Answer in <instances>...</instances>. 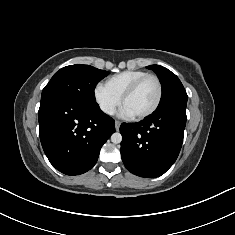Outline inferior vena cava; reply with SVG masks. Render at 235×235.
Here are the masks:
<instances>
[{"mask_svg":"<svg viewBox=\"0 0 235 235\" xmlns=\"http://www.w3.org/2000/svg\"><path fill=\"white\" fill-rule=\"evenodd\" d=\"M103 111L107 114L113 115L116 111L114 106H104Z\"/></svg>","mask_w":235,"mask_h":235,"instance_id":"602c4592","label":"inferior vena cava"}]
</instances>
